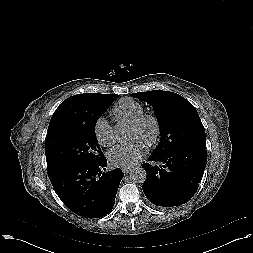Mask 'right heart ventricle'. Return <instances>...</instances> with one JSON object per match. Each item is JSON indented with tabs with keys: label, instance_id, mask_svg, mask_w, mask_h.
Here are the masks:
<instances>
[{
	"label": "right heart ventricle",
	"instance_id": "e07e8e85",
	"mask_svg": "<svg viewBox=\"0 0 253 253\" xmlns=\"http://www.w3.org/2000/svg\"><path fill=\"white\" fill-rule=\"evenodd\" d=\"M112 114L118 121L131 124L144 114V108L139 102L130 98H124L115 104Z\"/></svg>",
	"mask_w": 253,
	"mask_h": 253
}]
</instances>
